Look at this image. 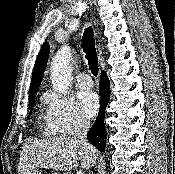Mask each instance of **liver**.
I'll return each mask as SVG.
<instances>
[{
  "mask_svg": "<svg viewBox=\"0 0 175 174\" xmlns=\"http://www.w3.org/2000/svg\"><path fill=\"white\" fill-rule=\"evenodd\" d=\"M89 169L96 161L94 155L82 144L70 137H53L25 143L22 147L18 174L36 167L70 171L78 167Z\"/></svg>",
  "mask_w": 175,
  "mask_h": 174,
  "instance_id": "obj_1",
  "label": "liver"
}]
</instances>
